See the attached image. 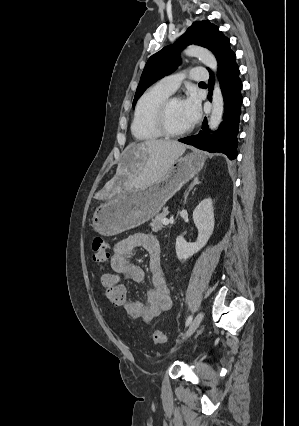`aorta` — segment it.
<instances>
[{
    "label": "aorta",
    "instance_id": "762f6f07",
    "mask_svg": "<svg viewBox=\"0 0 299 426\" xmlns=\"http://www.w3.org/2000/svg\"><path fill=\"white\" fill-rule=\"evenodd\" d=\"M185 55L189 57H196L205 66L209 67L215 74L217 72V60L215 56L206 48L200 46H191L184 51ZM224 113V99L220 84L216 78L213 94H212V112L209 119L210 130H215L222 121Z\"/></svg>",
    "mask_w": 299,
    "mask_h": 426
}]
</instances>
